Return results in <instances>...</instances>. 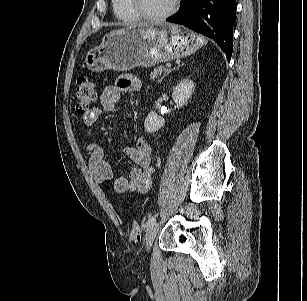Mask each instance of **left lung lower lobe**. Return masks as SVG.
<instances>
[{
    "mask_svg": "<svg viewBox=\"0 0 307 301\" xmlns=\"http://www.w3.org/2000/svg\"><path fill=\"white\" fill-rule=\"evenodd\" d=\"M168 22L185 25L213 39L230 61L236 0H181V9Z\"/></svg>",
    "mask_w": 307,
    "mask_h": 301,
    "instance_id": "0a47b994",
    "label": "left lung lower lobe"
}]
</instances>
